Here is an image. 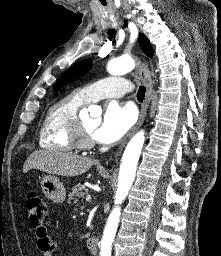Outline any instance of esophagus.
<instances>
[{"label":"esophagus","mask_w":221,"mask_h":256,"mask_svg":"<svg viewBox=\"0 0 221 256\" xmlns=\"http://www.w3.org/2000/svg\"><path fill=\"white\" fill-rule=\"evenodd\" d=\"M139 76H140L141 80L144 82L145 87H146V94H145V98H144V101H143L142 106H141L139 119H138L136 125L132 128V130L126 135L125 139L120 144L118 150L116 151L114 157L111 160L116 161L118 159V157L120 156L127 140L138 130V128L142 125V123L145 120L147 110L149 108L150 101H151V98H152L153 83H152V79H151V76H150V71H149L146 63H144V62H142L141 65H140Z\"/></svg>","instance_id":"34e87169"}]
</instances>
